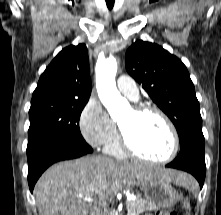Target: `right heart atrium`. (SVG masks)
<instances>
[{"label":"right heart atrium","instance_id":"right-heart-atrium-1","mask_svg":"<svg viewBox=\"0 0 221 215\" xmlns=\"http://www.w3.org/2000/svg\"><path fill=\"white\" fill-rule=\"evenodd\" d=\"M79 129L84 140L94 147L106 145L117 132L115 122L95 98H90L82 109Z\"/></svg>","mask_w":221,"mask_h":215}]
</instances>
